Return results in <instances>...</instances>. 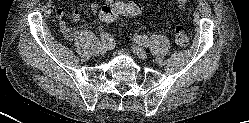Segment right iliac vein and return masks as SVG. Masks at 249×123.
I'll list each match as a JSON object with an SVG mask.
<instances>
[{
    "label": "right iliac vein",
    "mask_w": 249,
    "mask_h": 123,
    "mask_svg": "<svg viewBox=\"0 0 249 123\" xmlns=\"http://www.w3.org/2000/svg\"><path fill=\"white\" fill-rule=\"evenodd\" d=\"M108 49H109V46H108L107 43H102L99 46V52H100V54L106 53Z\"/></svg>",
    "instance_id": "obj_1"
}]
</instances>
